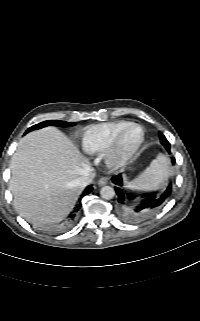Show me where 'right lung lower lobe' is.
Instances as JSON below:
<instances>
[{"label":"right lung lower lobe","instance_id":"98d812e1","mask_svg":"<svg viewBox=\"0 0 200 321\" xmlns=\"http://www.w3.org/2000/svg\"><path fill=\"white\" fill-rule=\"evenodd\" d=\"M92 189H93V188H92L91 186H88V187L85 189V191L83 192L82 197H83L84 195L89 194V193L92 191ZM80 207H81V199L79 200V203L77 204L75 210H74V211L72 212V214L69 216V217L71 218V220H73V219L75 218L76 213L79 211Z\"/></svg>","mask_w":200,"mask_h":321}]
</instances>
